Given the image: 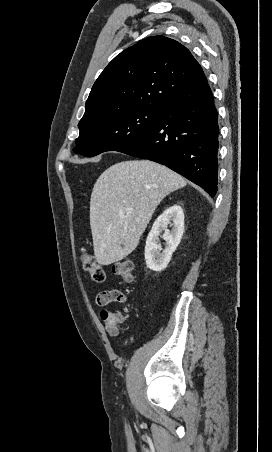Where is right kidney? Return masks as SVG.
<instances>
[{
  "label": "right kidney",
  "mask_w": 272,
  "mask_h": 452,
  "mask_svg": "<svg viewBox=\"0 0 272 452\" xmlns=\"http://www.w3.org/2000/svg\"><path fill=\"white\" fill-rule=\"evenodd\" d=\"M173 222L171 231L167 229L169 222ZM165 231L162 238L166 241L165 249L161 251L159 236ZM184 232V213L179 205L167 208L154 222L148 234L145 246V260L149 269L161 272L171 260L173 252L179 245Z\"/></svg>",
  "instance_id": "1"
}]
</instances>
